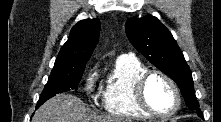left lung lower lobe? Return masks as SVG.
<instances>
[{"instance_id": "1", "label": "left lung lower lobe", "mask_w": 221, "mask_h": 122, "mask_svg": "<svg viewBox=\"0 0 221 122\" xmlns=\"http://www.w3.org/2000/svg\"><path fill=\"white\" fill-rule=\"evenodd\" d=\"M199 116L203 118L202 114H199Z\"/></svg>"}]
</instances>
